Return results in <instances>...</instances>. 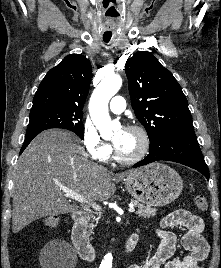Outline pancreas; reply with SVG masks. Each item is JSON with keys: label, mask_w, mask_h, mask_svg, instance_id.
<instances>
[{"label": "pancreas", "mask_w": 221, "mask_h": 268, "mask_svg": "<svg viewBox=\"0 0 221 268\" xmlns=\"http://www.w3.org/2000/svg\"><path fill=\"white\" fill-rule=\"evenodd\" d=\"M131 204H133L135 207H138V211L136 212V214L139 216L149 218L156 215L157 212L156 208H152L150 206L141 204L136 200H131ZM88 228H89L88 234L91 235L93 233L94 225L90 224Z\"/></svg>", "instance_id": "1"}]
</instances>
